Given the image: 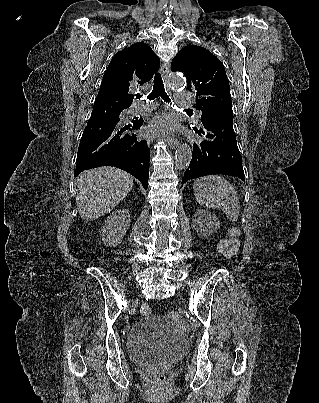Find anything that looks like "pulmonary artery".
Masks as SVG:
<instances>
[{
	"label": "pulmonary artery",
	"instance_id": "1",
	"mask_svg": "<svg viewBox=\"0 0 319 403\" xmlns=\"http://www.w3.org/2000/svg\"><path fill=\"white\" fill-rule=\"evenodd\" d=\"M177 101H176V105L179 108H188L193 106L194 104V98L193 95L188 92V91H181V92H177ZM150 108H152V105L143 101L134 103L130 109H129V113L131 115H136V114H140L143 113L147 110H149Z\"/></svg>",
	"mask_w": 319,
	"mask_h": 403
}]
</instances>
